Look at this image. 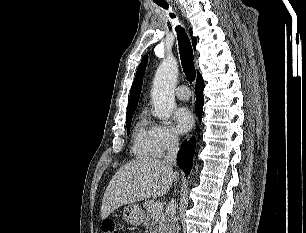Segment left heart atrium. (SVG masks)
Listing matches in <instances>:
<instances>
[{"mask_svg": "<svg viewBox=\"0 0 306 233\" xmlns=\"http://www.w3.org/2000/svg\"><path fill=\"white\" fill-rule=\"evenodd\" d=\"M174 122L179 133H186L192 128L194 118L187 107H180L174 112Z\"/></svg>", "mask_w": 306, "mask_h": 233, "instance_id": "1", "label": "left heart atrium"}]
</instances>
